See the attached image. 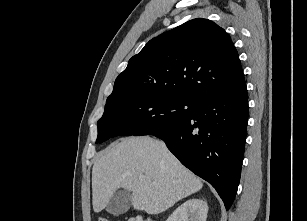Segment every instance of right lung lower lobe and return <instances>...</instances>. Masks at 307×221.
<instances>
[{
  "label": "right lung lower lobe",
  "mask_w": 307,
  "mask_h": 221,
  "mask_svg": "<svg viewBox=\"0 0 307 221\" xmlns=\"http://www.w3.org/2000/svg\"><path fill=\"white\" fill-rule=\"evenodd\" d=\"M248 123L246 86L238 92L195 102L191 115L152 135L193 173L208 181L226 209L240 181Z\"/></svg>",
  "instance_id": "1"
}]
</instances>
